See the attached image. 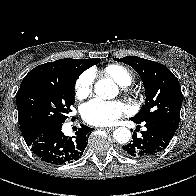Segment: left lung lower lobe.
I'll return each instance as SVG.
<instances>
[{"label":"left lung lower lobe","mask_w":196,"mask_h":196,"mask_svg":"<svg viewBox=\"0 0 196 196\" xmlns=\"http://www.w3.org/2000/svg\"><path fill=\"white\" fill-rule=\"evenodd\" d=\"M130 120L136 124L143 122L146 130L141 132V137L137 136L135 131L133 132V140L122 147V153L126 156L136 158L153 156L164 150L175 134V131L156 120L137 121L134 118Z\"/></svg>","instance_id":"1"}]
</instances>
